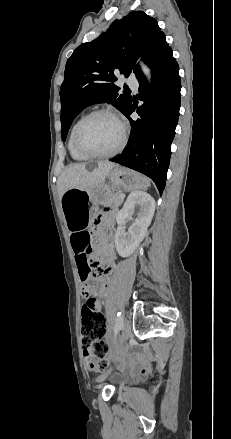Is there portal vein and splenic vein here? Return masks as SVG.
Returning a JSON list of instances; mask_svg holds the SVG:
<instances>
[{
	"label": "portal vein and splenic vein",
	"instance_id": "obj_1",
	"mask_svg": "<svg viewBox=\"0 0 231 439\" xmlns=\"http://www.w3.org/2000/svg\"><path fill=\"white\" fill-rule=\"evenodd\" d=\"M121 198L124 199V198H125V195H124V194H121Z\"/></svg>",
	"mask_w": 231,
	"mask_h": 439
}]
</instances>
